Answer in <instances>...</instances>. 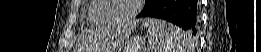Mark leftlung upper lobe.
Segmentation results:
<instances>
[{
	"label": "left lung upper lobe",
	"mask_w": 261,
	"mask_h": 52,
	"mask_svg": "<svg viewBox=\"0 0 261 52\" xmlns=\"http://www.w3.org/2000/svg\"><path fill=\"white\" fill-rule=\"evenodd\" d=\"M152 1L153 0H146V6L145 7L149 6L152 3Z\"/></svg>",
	"instance_id": "1"
}]
</instances>
